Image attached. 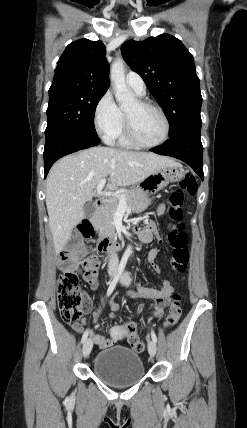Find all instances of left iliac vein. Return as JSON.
I'll return each instance as SVG.
<instances>
[{"label": "left iliac vein", "mask_w": 247, "mask_h": 428, "mask_svg": "<svg viewBox=\"0 0 247 428\" xmlns=\"http://www.w3.org/2000/svg\"><path fill=\"white\" fill-rule=\"evenodd\" d=\"M122 285L128 286L131 282V279L129 277V274L127 272L124 273V275L122 276L121 280H120ZM156 351H157V347H156V343L151 340L148 342V352L149 354L154 357L156 355Z\"/></svg>", "instance_id": "4c4485c4"}]
</instances>
